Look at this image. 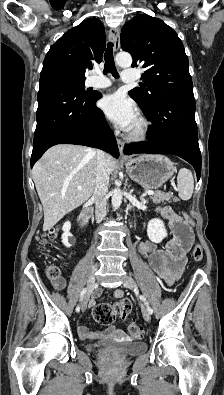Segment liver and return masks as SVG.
Masks as SVG:
<instances>
[{
	"instance_id": "6515ba94",
	"label": "liver",
	"mask_w": 224,
	"mask_h": 395,
	"mask_svg": "<svg viewBox=\"0 0 224 395\" xmlns=\"http://www.w3.org/2000/svg\"><path fill=\"white\" fill-rule=\"evenodd\" d=\"M107 160L111 173L115 159L107 155ZM96 165L97 151L79 145L53 146L34 165L32 177L44 211L43 231L91 197Z\"/></svg>"
}]
</instances>
